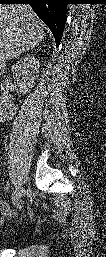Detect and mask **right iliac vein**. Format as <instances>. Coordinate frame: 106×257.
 Instances as JSON below:
<instances>
[{"label": "right iliac vein", "mask_w": 106, "mask_h": 257, "mask_svg": "<svg viewBox=\"0 0 106 257\" xmlns=\"http://www.w3.org/2000/svg\"><path fill=\"white\" fill-rule=\"evenodd\" d=\"M23 194V188L20 186L19 190L17 192V195L15 196V198L13 199V205H18V202L20 200V198L22 197Z\"/></svg>", "instance_id": "1"}]
</instances>
